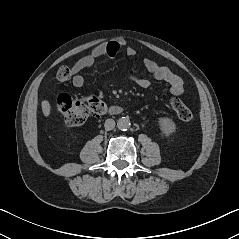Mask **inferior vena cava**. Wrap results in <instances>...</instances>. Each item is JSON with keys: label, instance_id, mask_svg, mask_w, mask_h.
Returning <instances> with one entry per match:
<instances>
[{"label": "inferior vena cava", "instance_id": "602c4592", "mask_svg": "<svg viewBox=\"0 0 239 239\" xmlns=\"http://www.w3.org/2000/svg\"><path fill=\"white\" fill-rule=\"evenodd\" d=\"M104 127L106 131H110L115 127V121L113 119H107L104 123Z\"/></svg>", "mask_w": 239, "mask_h": 239}]
</instances>
